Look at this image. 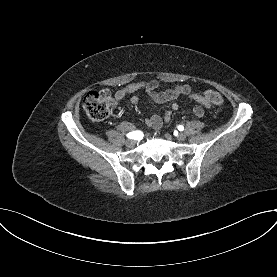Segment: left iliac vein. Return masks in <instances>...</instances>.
Returning a JSON list of instances; mask_svg holds the SVG:
<instances>
[{
	"label": "left iliac vein",
	"mask_w": 277,
	"mask_h": 277,
	"mask_svg": "<svg viewBox=\"0 0 277 277\" xmlns=\"http://www.w3.org/2000/svg\"><path fill=\"white\" fill-rule=\"evenodd\" d=\"M166 137H167V136H166ZM185 138H186V136H185V134H183V133H179V134L177 135V140H179V141H184Z\"/></svg>",
	"instance_id": "obj_1"
}]
</instances>
